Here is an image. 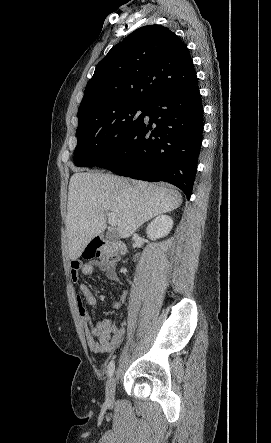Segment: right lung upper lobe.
<instances>
[{"label":"right lung upper lobe","instance_id":"obj_1","mask_svg":"<svg viewBox=\"0 0 271 443\" xmlns=\"http://www.w3.org/2000/svg\"><path fill=\"white\" fill-rule=\"evenodd\" d=\"M196 80L189 51L178 36L161 25L144 26L97 64L78 117L95 118L125 103H149L161 93Z\"/></svg>","mask_w":271,"mask_h":443}]
</instances>
